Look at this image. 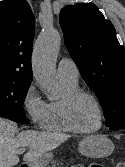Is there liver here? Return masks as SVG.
<instances>
[{
	"label": "liver",
	"instance_id": "6515ba94",
	"mask_svg": "<svg viewBox=\"0 0 125 167\" xmlns=\"http://www.w3.org/2000/svg\"><path fill=\"white\" fill-rule=\"evenodd\" d=\"M17 133V125L0 118V167H13L19 163L17 150L28 147L29 151L23 160L32 161L42 154L58 147L69 138V135L55 132H37L25 130Z\"/></svg>",
	"mask_w": 125,
	"mask_h": 167
}]
</instances>
